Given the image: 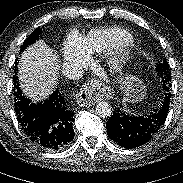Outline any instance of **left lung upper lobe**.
I'll list each match as a JSON object with an SVG mask.
<instances>
[{"mask_svg": "<svg viewBox=\"0 0 183 183\" xmlns=\"http://www.w3.org/2000/svg\"><path fill=\"white\" fill-rule=\"evenodd\" d=\"M157 72H158V75L160 76L161 80H163L167 76H170V68H169V64L167 63L166 59L163 60V63H160L157 66Z\"/></svg>", "mask_w": 183, "mask_h": 183, "instance_id": "obj_1", "label": "left lung upper lobe"}]
</instances>
